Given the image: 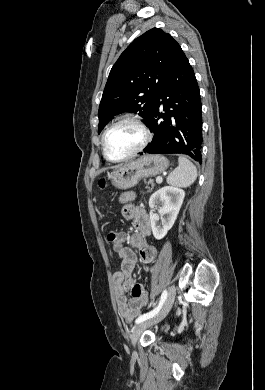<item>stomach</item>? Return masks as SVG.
Masks as SVG:
<instances>
[{"label": "stomach", "instance_id": "0dacf381", "mask_svg": "<svg viewBox=\"0 0 265 390\" xmlns=\"http://www.w3.org/2000/svg\"><path fill=\"white\" fill-rule=\"evenodd\" d=\"M169 161L162 155H145L135 161L121 166L109 175L113 186L128 189L135 186L142 178L163 173Z\"/></svg>", "mask_w": 265, "mask_h": 390}]
</instances>
